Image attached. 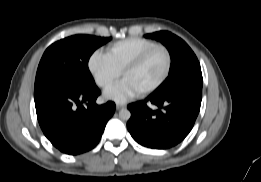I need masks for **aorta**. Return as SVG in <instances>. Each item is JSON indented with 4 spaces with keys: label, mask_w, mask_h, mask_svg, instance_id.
Wrapping results in <instances>:
<instances>
[{
    "label": "aorta",
    "mask_w": 261,
    "mask_h": 182,
    "mask_svg": "<svg viewBox=\"0 0 261 182\" xmlns=\"http://www.w3.org/2000/svg\"><path fill=\"white\" fill-rule=\"evenodd\" d=\"M131 117V113L128 109L124 108L119 111V118L121 120H129Z\"/></svg>",
    "instance_id": "762f6f07"
}]
</instances>
